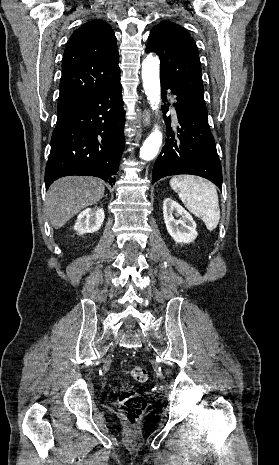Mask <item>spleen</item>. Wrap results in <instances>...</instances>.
I'll return each instance as SVG.
<instances>
[{
	"label": "spleen",
	"mask_w": 279,
	"mask_h": 465,
	"mask_svg": "<svg viewBox=\"0 0 279 465\" xmlns=\"http://www.w3.org/2000/svg\"><path fill=\"white\" fill-rule=\"evenodd\" d=\"M170 186L179 194L185 206L203 220L209 231L217 227L220 208L218 194L212 183L186 175L173 177Z\"/></svg>",
	"instance_id": "spleen-1"
}]
</instances>
